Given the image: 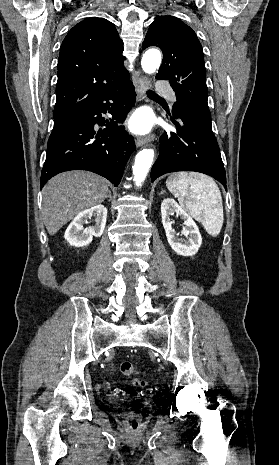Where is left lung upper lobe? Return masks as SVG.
<instances>
[{"label": "left lung upper lobe", "mask_w": 279, "mask_h": 465, "mask_svg": "<svg viewBox=\"0 0 279 465\" xmlns=\"http://www.w3.org/2000/svg\"><path fill=\"white\" fill-rule=\"evenodd\" d=\"M149 46H158L163 51V61L156 77L169 80L175 91L174 115L191 116L212 128L204 57L195 32L176 17L157 16L149 27L142 48Z\"/></svg>", "instance_id": "5c2ea615"}]
</instances>
